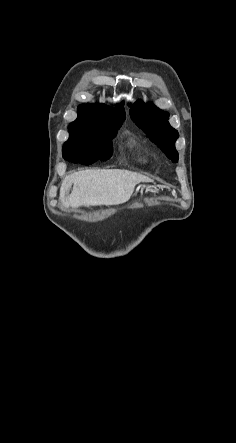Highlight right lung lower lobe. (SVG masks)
<instances>
[{
	"mask_svg": "<svg viewBox=\"0 0 236 443\" xmlns=\"http://www.w3.org/2000/svg\"><path fill=\"white\" fill-rule=\"evenodd\" d=\"M113 153V149H103L94 146H73L63 148V157L73 163L90 165L97 160L106 161Z\"/></svg>",
	"mask_w": 236,
	"mask_h": 443,
	"instance_id": "obj_1",
	"label": "right lung lower lobe"
}]
</instances>
